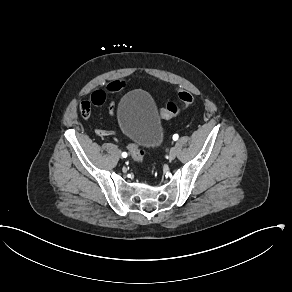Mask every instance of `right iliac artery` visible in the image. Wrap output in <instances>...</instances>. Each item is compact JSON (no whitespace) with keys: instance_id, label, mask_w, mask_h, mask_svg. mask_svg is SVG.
<instances>
[{"instance_id":"right-iliac-artery-1","label":"right iliac artery","mask_w":292,"mask_h":292,"mask_svg":"<svg viewBox=\"0 0 292 292\" xmlns=\"http://www.w3.org/2000/svg\"><path fill=\"white\" fill-rule=\"evenodd\" d=\"M122 157L126 158L127 157V153L126 152H123L122 153Z\"/></svg>"}]
</instances>
